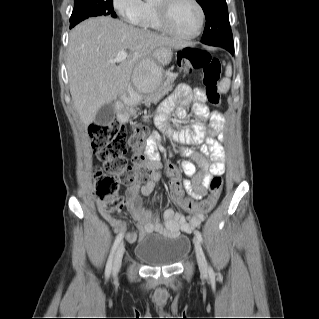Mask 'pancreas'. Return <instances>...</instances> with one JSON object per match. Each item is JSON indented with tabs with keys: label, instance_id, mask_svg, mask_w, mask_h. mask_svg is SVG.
Returning <instances> with one entry per match:
<instances>
[{
	"label": "pancreas",
	"instance_id": "pancreas-1",
	"mask_svg": "<svg viewBox=\"0 0 319 319\" xmlns=\"http://www.w3.org/2000/svg\"><path fill=\"white\" fill-rule=\"evenodd\" d=\"M177 76L178 75L175 73L166 74L163 78V82L161 83V86H159L154 92L147 95H140L141 103L147 105V104H150L151 102H154L160 99L165 94H168L170 91H172L174 86L173 83L175 79L177 78ZM128 110L130 115L136 116V113L139 109L135 108V106L132 105L129 107Z\"/></svg>",
	"mask_w": 319,
	"mask_h": 319
}]
</instances>
